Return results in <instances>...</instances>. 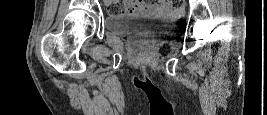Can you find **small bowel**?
<instances>
[{
    "instance_id": "1",
    "label": "small bowel",
    "mask_w": 267,
    "mask_h": 115,
    "mask_svg": "<svg viewBox=\"0 0 267 115\" xmlns=\"http://www.w3.org/2000/svg\"><path fill=\"white\" fill-rule=\"evenodd\" d=\"M178 10L173 9L167 0H159L157 2H134L128 4V12L134 14H158L166 15Z\"/></svg>"
}]
</instances>
